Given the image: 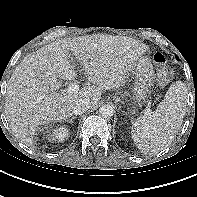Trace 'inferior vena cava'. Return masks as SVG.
Masks as SVG:
<instances>
[{
    "mask_svg": "<svg viewBox=\"0 0 197 197\" xmlns=\"http://www.w3.org/2000/svg\"><path fill=\"white\" fill-rule=\"evenodd\" d=\"M91 107V103L88 99L80 98L76 100L72 106V112L75 115H81Z\"/></svg>",
    "mask_w": 197,
    "mask_h": 197,
    "instance_id": "1",
    "label": "inferior vena cava"
}]
</instances>
